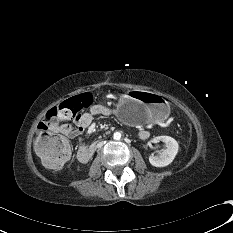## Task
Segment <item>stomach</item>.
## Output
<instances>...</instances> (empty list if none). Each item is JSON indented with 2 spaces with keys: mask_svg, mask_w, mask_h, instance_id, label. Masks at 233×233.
<instances>
[{
  "mask_svg": "<svg viewBox=\"0 0 233 233\" xmlns=\"http://www.w3.org/2000/svg\"><path fill=\"white\" fill-rule=\"evenodd\" d=\"M170 108L164 98L148 91L134 90L123 96L116 109L117 117L126 124L137 125L165 120Z\"/></svg>",
  "mask_w": 233,
  "mask_h": 233,
  "instance_id": "0dacf381",
  "label": "stomach"
}]
</instances>
